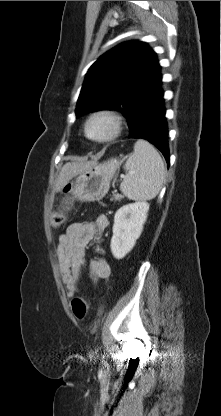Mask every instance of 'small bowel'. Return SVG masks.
I'll return each instance as SVG.
<instances>
[{"instance_id": "c3829d8e", "label": "small bowel", "mask_w": 221, "mask_h": 416, "mask_svg": "<svg viewBox=\"0 0 221 416\" xmlns=\"http://www.w3.org/2000/svg\"><path fill=\"white\" fill-rule=\"evenodd\" d=\"M108 223L107 216L99 214L91 221H77L70 224L65 232L59 235L56 256L69 297L78 292L88 245L92 241L97 243L101 241L102 233ZM95 252L97 256L89 262V275L93 281L106 280L110 276L109 263L102 256L103 250L99 245L96 246Z\"/></svg>"}]
</instances>
